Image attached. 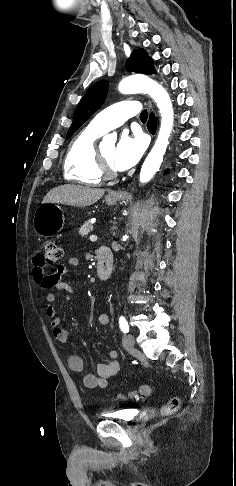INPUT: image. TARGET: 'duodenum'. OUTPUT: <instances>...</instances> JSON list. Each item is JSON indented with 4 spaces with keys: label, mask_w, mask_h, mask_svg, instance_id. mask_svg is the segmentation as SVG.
Masks as SVG:
<instances>
[{
    "label": "duodenum",
    "mask_w": 236,
    "mask_h": 486,
    "mask_svg": "<svg viewBox=\"0 0 236 486\" xmlns=\"http://www.w3.org/2000/svg\"><path fill=\"white\" fill-rule=\"evenodd\" d=\"M113 270V256L111 250L106 246L97 249V276L100 280H107Z\"/></svg>",
    "instance_id": "obj_1"
}]
</instances>
